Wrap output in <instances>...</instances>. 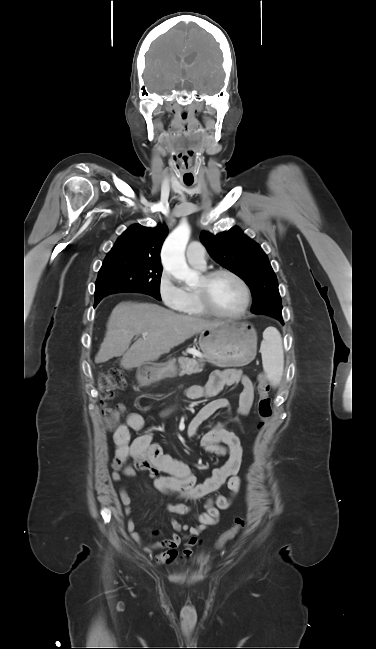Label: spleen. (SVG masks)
Instances as JSON below:
<instances>
[{
    "mask_svg": "<svg viewBox=\"0 0 376 649\" xmlns=\"http://www.w3.org/2000/svg\"><path fill=\"white\" fill-rule=\"evenodd\" d=\"M260 352L266 378L274 387L280 384L284 370V353L279 332L269 327L263 334Z\"/></svg>",
    "mask_w": 376,
    "mask_h": 649,
    "instance_id": "spleen-1",
    "label": "spleen"
}]
</instances>
